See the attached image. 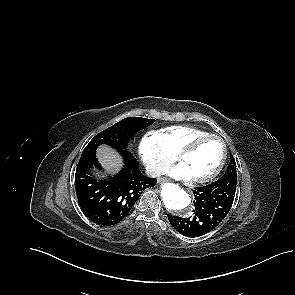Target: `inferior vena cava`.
<instances>
[{"mask_svg": "<svg viewBox=\"0 0 295 295\" xmlns=\"http://www.w3.org/2000/svg\"><path fill=\"white\" fill-rule=\"evenodd\" d=\"M146 173L151 177H158L162 174V169L158 166H147Z\"/></svg>", "mask_w": 295, "mask_h": 295, "instance_id": "602c4592", "label": "inferior vena cava"}]
</instances>
